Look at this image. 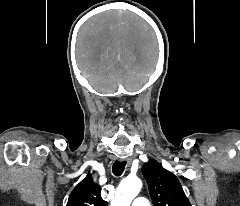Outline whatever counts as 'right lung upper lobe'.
<instances>
[{"label":"right lung upper lobe","instance_id":"cb5924a9","mask_svg":"<svg viewBox=\"0 0 240 206\" xmlns=\"http://www.w3.org/2000/svg\"><path fill=\"white\" fill-rule=\"evenodd\" d=\"M101 188L91 176L85 177L71 192L66 206H107L101 198Z\"/></svg>","mask_w":240,"mask_h":206}]
</instances>
